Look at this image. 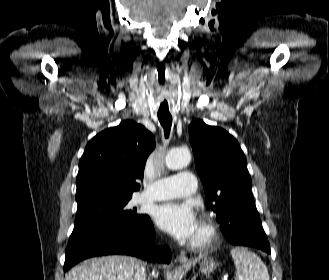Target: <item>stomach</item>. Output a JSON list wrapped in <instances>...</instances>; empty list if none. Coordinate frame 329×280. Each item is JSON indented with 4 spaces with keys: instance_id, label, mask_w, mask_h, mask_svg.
Returning a JSON list of instances; mask_svg holds the SVG:
<instances>
[{
    "instance_id": "1",
    "label": "stomach",
    "mask_w": 329,
    "mask_h": 280,
    "mask_svg": "<svg viewBox=\"0 0 329 280\" xmlns=\"http://www.w3.org/2000/svg\"><path fill=\"white\" fill-rule=\"evenodd\" d=\"M216 267H217V263L213 259L205 258V259H202L199 270L201 273L207 275V274L214 272Z\"/></svg>"
}]
</instances>
